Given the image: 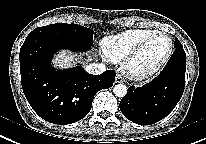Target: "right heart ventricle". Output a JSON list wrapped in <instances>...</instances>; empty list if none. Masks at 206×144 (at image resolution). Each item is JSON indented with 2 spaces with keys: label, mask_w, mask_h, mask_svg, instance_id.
<instances>
[{
  "label": "right heart ventricle",
  "mask_w": 206,
  "mask_h": 144,
  "mask_svg": "<svg viewBox=\"0 0 206 144\" xmlns=\"http://www.w3.org/2000/svg\"><path fill=\"white\" fill-rule=\"evenodd\" d=\"M156 32L153 29H131L103 39L101 49L112 62L123 61L146 37Z\"/></svg>",
  "instance_id": "e07e8e85"
}]
</instances>
